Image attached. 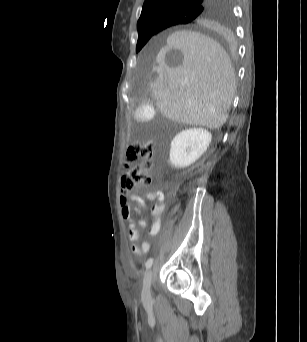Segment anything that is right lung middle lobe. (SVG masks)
Wrapping results in <instances>:
<instances>
[{"mask_svg": "<svg viewBox=\"0 0 307 342\" xmlns=\"http://www.w3.org/2000/svg\"><path fill=\"white\" fill-rule=\"evenodd\" d=\"M199 13L200 11L197 9H184L168 12L162 15L157 25L138 32L136 52L140 51L153 35L170 26L186 24L194 20Z\"/></svg>", "mask_w": 307, "mask_h": 342, "instance_id": "obj_1", "label": "right lung middle lobe"}]
</instances>
